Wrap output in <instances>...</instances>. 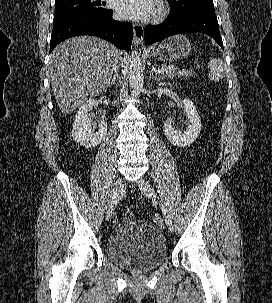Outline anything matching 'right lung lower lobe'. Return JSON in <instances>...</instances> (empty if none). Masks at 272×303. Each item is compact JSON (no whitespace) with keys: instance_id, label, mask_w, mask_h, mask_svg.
I'll return each instance as SVG.
<instances>
[{"instance_id":"1","label":"right lung lower lobe","mask_w":272,"mask_h":303,"mask_svg":"<svg viewBox=\"0 0 272 303\" xmlns=\"http://www.w3.org/2000/svg\"><path fill=\"white\" fill-rule=\"evenodd\" d=\"M112 15V10L105 13L85 12L54 21L50 52L61 41L78 35L97 36L129 51L132 44V25L115 21Z\"/></svg>"}]
</instances>
